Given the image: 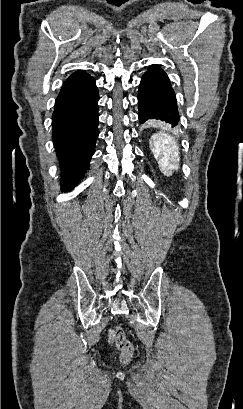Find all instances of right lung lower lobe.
I'll return each mask as SVG.
<instances>
[{"mask_svg":"<svg viewBox=\"0 0 243 409\" xmlns=\"http://www.w3.org/2000/svg\"><path fill=\"white\" fill-rule=\"evenodd\" d=\"M99 94L84 71L70 75L56 99L52 139L63 173L62 187L71 190L88 169L98 137Z\"/></svg>","mask_w":243,"mask_h":409,"instance_id":"1","label":"right lung lower lobe"}]
</instances>
